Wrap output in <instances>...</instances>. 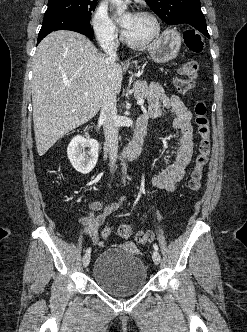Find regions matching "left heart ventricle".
Here are the masks:
<instances>
[{"label": "left heart ventricle", "mask_w": 247, "mask_h": 332, "mask_svg": "<svg viewBox=\"0 0 247 332\" xmlns=\"http://www.w3.org/2000/svg\"><path fill=\"white\" fill-rule=\"evenodd\" d=\"M152 30V21L147 17L136 14L131 26L125 32L130 39L140 41L146 38Z\"/></svg>", "instance_id": "b2bd125f"}]
</instances>
